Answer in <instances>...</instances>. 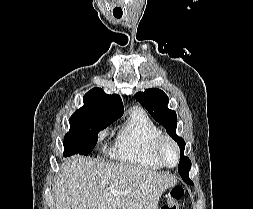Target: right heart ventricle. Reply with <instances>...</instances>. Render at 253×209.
<instances>
[{
    "mask_svg": "<svg viewBox=\"0 0 253 209\" xmlns=\"http://www.w3.org/2000/svg\"><path fill=\"white\" fill-rule=\"evenodd\" d=\"M162 132L141 108H134L118 132L110 149L111 155L124 163L158 170L163 165L155 158L152 148Z\"/></svg>",
    "mask_w": 253,
    "mask_h": 209,
    "instance_id": "right-heart-ventricle-1",
    "label": "right heart ventricle"
}]
</instances>
